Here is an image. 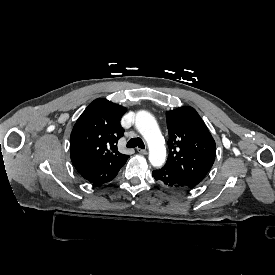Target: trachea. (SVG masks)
Here are the masks:
<instances>
[{
  "label": "trachea",
  "mask_w": 275,
  "mask_h": 275,
  "mask_svg": "<svg viewBox=\"0 0 275 275\" xmlns=\"http://www.w3.org/2000/svg\"><path fill=\"white\" fill-rule=\"evenodd\" d=\"M126 146L131 147V148H134V147H137V146L141 149L145 148V145H144L142 139L139 138V137L130 139Z\"/></svg>",
  "instance_id": "obj_1"
}]
</instances>
